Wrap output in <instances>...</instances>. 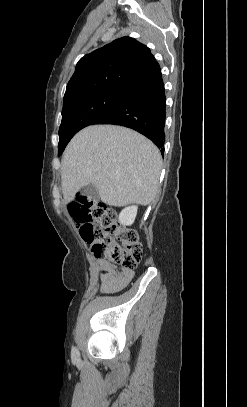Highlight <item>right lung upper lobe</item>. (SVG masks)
Masks as SVG:
<instances>
[{"label":"right lung upper lobe","mask_w":247,"mask_h":407,"mask_svg":"<svg viewBox=\"0 0 247 407\" xmlns=\"http://www.w3.org/2000/svg\"><path fill=\"white\" fill-rule=\"evenodd\" d=\"M161 74L150 49L123 37L81 58L68 82L63 105L114 86L137 89Z\"/></svg>","instance_id":"1"}]
</instances>
